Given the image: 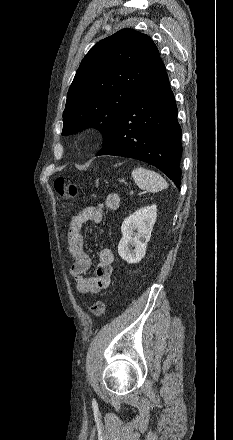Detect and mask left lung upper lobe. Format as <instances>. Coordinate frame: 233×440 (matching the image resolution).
<instances>
[{
	"instance_id": "5c2ea615",
	"label": "left lung upper lobe",
	"mask_w": 233,
	"mask_h": 440,
	"mask_svg": "<svg viewBox=\"0 0 233 440\" xmlns=\"http://www.w3.org/2000/svg\"><path fill=\"white\" fill-rule=\"evenodd\" d=\"M159 59L150 37L133 29H122L95 44L69 88L62 134L92 126L103 132L104 145Z\"/></svg>"
}]
</instances>
